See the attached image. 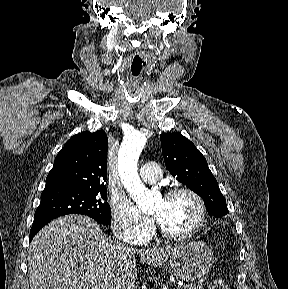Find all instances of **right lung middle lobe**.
<instances>
[{
	"label": "right lung middle lobe",
	"instance_id": "1",
	"mask_svg": "<svg viewBox=\"0 0 288 289\" xmlns=\"http://www.w3.org/2000/svg\"><path fill=\"white\" fill-rule=\"evenodd\" d=\"M67 214L87 215L100 224L110 222L106 187L49 188L41 194L34 222L52 220Z\"/></svg>",
	"mask_w": 288,
	"mask_h": 289
}]
</instances>
